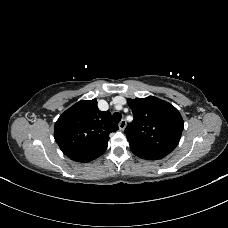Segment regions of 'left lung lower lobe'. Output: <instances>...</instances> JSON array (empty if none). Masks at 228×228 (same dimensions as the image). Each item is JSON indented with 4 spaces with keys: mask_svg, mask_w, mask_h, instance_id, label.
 Returning a JSON list of instances; mask_svg holds the SVG:
<instances>
[{
    "mask_svg": "<svg viewBox=\"0 0 228 228\" xmlns=\"http://www.w3.org/2000/svg\"><path fill=\"white\" fill-rule=\"evenodd\" d=\"M132 152L143 159H147V160H157V159H161L163 157H165L166 155L163 154H159V153H152V152H142V151H135L132 150Z\"/></svg>",
    "mask_w": 228,
    "mask_h": 228,
    "instance_id": "1",
    "label": "left lung lower lobe"
}]
</instances>
